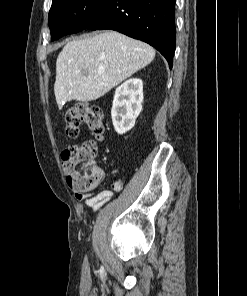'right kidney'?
<instances>
[{"mask_svg":"<svg viewBox=\"0 0 247 296\" xmlns=\"http://www.w3.org/2000/svg\"><path fill=\"white\" fill-rule=\"evenodd\" d=\"M143 82L131 78L117 87L111 109V117L115 131L124 134L134 125L142 110Z\"/></svg>","mask_w":247,"mask_h":296,"instance_id":"1","label":"right kidney"}]
</instances>
